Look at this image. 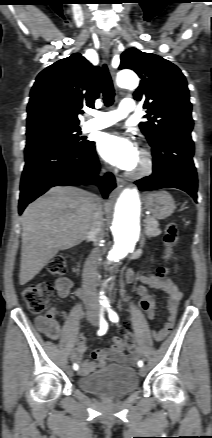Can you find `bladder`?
<instances>
[{
  "instance_id": "1",
  "label": "bladder",
  "mask_w": 212,
  "mask_h": 438,
  "mask_svg": "<svg viewBox=\"0 0 212 438\" xmlns=\"http://www.w3.org/2000/svg\"><path fill=\"white\" fill-rule=\"evenodd\" d=\"M78 386L105 398L128 395L138 388V378L133 368L108 367L81 377Z\"/></svg>"
}]
</instances>
